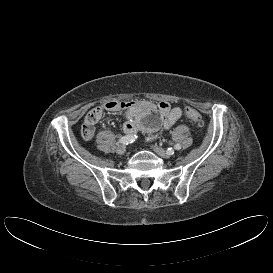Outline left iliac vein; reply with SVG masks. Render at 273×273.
I'll list each match as a JSON object with an SVG mask.
<instances>
[{"instance_id": "left-iliac-vein-1", "label": "left iliac vein", "mask_w": 273, "mask_h": 273, "mask_svg": "<svg viewBox=\"0 0 273 273\" xmlns=\"http://www.w3.org/2000/svg\"><path fill=\"white\" fill-rule=\"evenodd\" d=\"M152 149L154 150V152L156 154H158L159 156L163 157V158H169L171 156L170 153H168L166 150H164L163 148L157 146V145H153Z\"/></svg>"}]
</instances>
